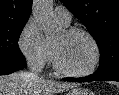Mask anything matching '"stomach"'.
Masks as SVG:
<instances>
[{
  "instance_id": "1",
  "label": "stomach",
  "mask_w": 119,
  "mask_h": 95,
  "mask_svg": "<svg viewBox=\"0 0 119 95\" xmlns=\"http://www.w3.org/2000/svg\"><path fill=\"white\" fill-rule=\"evenodd\" d=\"M66 95H94V94L85 88H74L69 92H67Z\"/></svg>"
}]
</instances>
